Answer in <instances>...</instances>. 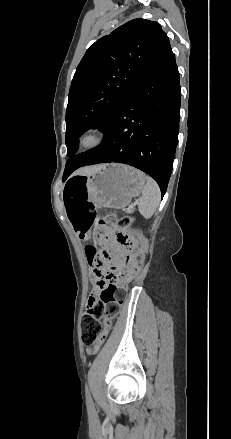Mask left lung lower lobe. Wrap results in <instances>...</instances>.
<instances>
[{"mask_svg":"<svg viewBox=\"0 0 231 439\" xmlns=\"http://www.w3.org/2000/svg\"><path fill=\"white\" fill-rule=\"evenodd\" d=\"M179 72L172 50L128 93L104 130L103 144L67 162L68 174L81 166L118 162L150 175L164 196L178 144Z\"/></svg>","mask_w":231,"mask_h":439,"instance_id":"left-lung-lower-lobe-1","label":"left lung lower lobe"}]
</instances>
